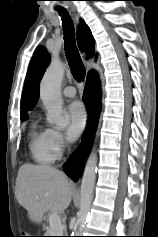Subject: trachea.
<instances>
[{"label": "trachea", "instance_id": "trachea-1", "mask_svg": "<svg viewBox=\"0 0 158 237\" xmlns=\"http://www.w3.org/2000/svg\"><path fill=\"white\" fill-rule=\"evenodd\" d=\"M59 14L63 20L64 40H65V54L68 60L71 73L77 81H83L86 70L80 58L76 42L75 33L72 20L65 9H60Z\"/></svg>", "mask_w": 158, "mask_h": 237}]
</instances>
